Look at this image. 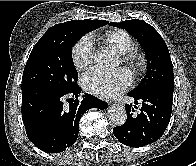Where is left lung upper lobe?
Masks as SVG:
<instances>
[{
	"mask_svg": "<svg viewBox=\"0 0 196 166\" xmlns=\"http://www.w3.org/2000/svg\"><path fill=\"white\" fill-rule=\"evenodd\" d=\"M109 25L125 29L135 37L146 54L147 73L131 94H141L152 89L174 90V74L169 50L160 34L143 20H126Z\"/></svg>",
	"mask_w": 196,
	"mask_h": 166,
	"instance_id": "left-lung-upper-lobe-1",
	"label": "left lung upper lobe"
}]
</instances>
